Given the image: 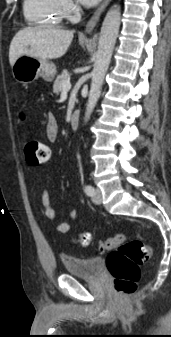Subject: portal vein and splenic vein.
<instances>
[{
  "mask_svg": "<svg viewBox=\"0 0 171 337\" xmlns=\"http://www.w3.org/2000/svg\"><path fill=\"white\" fill-rule=\"evenodd\" d=\"M71 89V83L69 80H66L62 83V92H67Z\"/></svg>",
  "mask_w": 171,
  "mask_h": 337,
  "instance_id": "portal-vein-and-splenic-vein-1",
  "label": "portal vein and splenic vein"
}]
</instances>
